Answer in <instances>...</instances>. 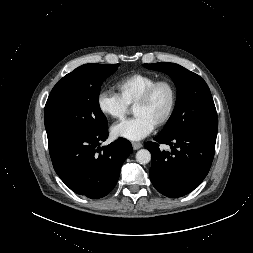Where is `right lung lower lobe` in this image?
I'll return each mask as SVG.
<instances>
[{
  "label": "right lung lower lobe",
  "instance_id": "obj_1",
  "mask_svg": "<svg viewBox=\"0 0 253 253\" xmlns=\"http://www.w3.org/2000/svg\"><path fill=\"white\" fill-rule=\"evenodd\" d=\"M107 138L108 125L94 132L69 133L48 139L54 169L73 192L98 199L115 187L121 166L133 150L124 138L100 148Z\"/></svg>",
  "mask_w": 253,
  "mask_h": 253
}]
</instances>
